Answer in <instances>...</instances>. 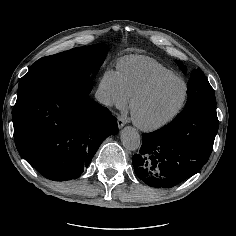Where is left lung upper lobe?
I'll use <instances>...</instances> for the list:
<instances>
[{
    "mask_svg": "<svg viewBox=\"0 0 236 236\" xmlns=\"http://www.w3.org/2000/svg\"><path fill=\"white\" fill-rule=\"evenodd\" d=\"M183 73H186V67L180 61H176ZM187 103L185 108L191 106H207L216 108L215 93L201 69L191 72L187 87Z\"/></svg>",
    "mask_w": 236,
    "mask_h": 236,
    "instance_id": "5c2ea615",
    "label": "left lung upper lobe"
}]
</instances>
